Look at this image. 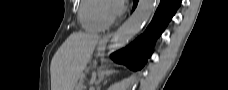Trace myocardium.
I'll use <instances>...</instances> for the list:
<instances>
[{
  "label": "myocardium",
  "instance_id": "f54148a6",
  "mask_svg": "<svg viewBox=\"0 0 228 90\" xmlns=\"http://www.w3.org/2000/svg\"><path fill=\"white\" fill-rule=\"evenodd\" d=\"M110 6V9L112 11V5L110 3V1H105L101 7H100V18L101 20L107 25H112L113 23H115L116 21V18H115V15L111 12L109 13L107 11V7Z\"/></svg>",
  "mask_w": 228,
  "mask_h": 90
}]
</instances>
